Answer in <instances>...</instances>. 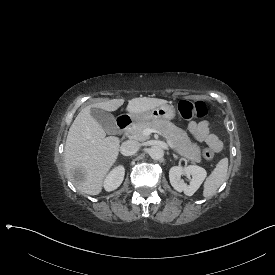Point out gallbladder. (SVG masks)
<instances>
[{"mask_svg":"<svg viewBox=\"0 0 275 275\" xmlns=\"http://www.w3.org/2000/svg\"><path fill=\"white\" fill-rule=\"evenodd\" d=\"M91 115L97 119L107 134H117L118 127L112 114L105 113L99 109L92 108Z\"/></svg>","mask_w":275,"mask_h":275,"instance_id":"1","label":"gallbladder"}]
</instances>
